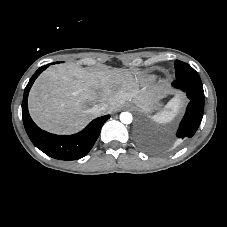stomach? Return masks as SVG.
I'll return each instance as SVG.
<instances>
[{
	"mask_svg": "<svg viewBox=\"0 0 227 227\" xmlns=\"http://www.w3.org/2000/svg\"><path fill=\"white\" fill-rule=\"evenodd\" d=\"M136 104V103H135ZM137 105V104H136ZM138 107H140L142 110H146V111H152V110H154V109H158L159 108V106H160V103H159V101H156V102H154L148 109H144V108H142L141 106H139V105H137Z\"/></svg>",
	"mask_w": 227,
	"mask_h": 227,
	"instance_id": "obj_1",
	"label": "stomach"
}]
</instances>
